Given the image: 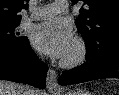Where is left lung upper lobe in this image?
Masks as SVG:
<instances>
[{
    "label": "left lung upper lobe",
    "instance_id": "left-lung-upper-lobe-1",
    "mask_svg": "<svg viewBox=\"0 0 119 95\" xmlns=\"http://www.w3.org/2000/svg\"><path fill=\"white\" fill-rule=\"evenodd\" d=\"M76 4L79 0H71ZM76 26L86 48H110L119 44V0H82Z\"/></svg>",
    "mask_w": 119,
    "mask_h": 95
}]
</instances>
